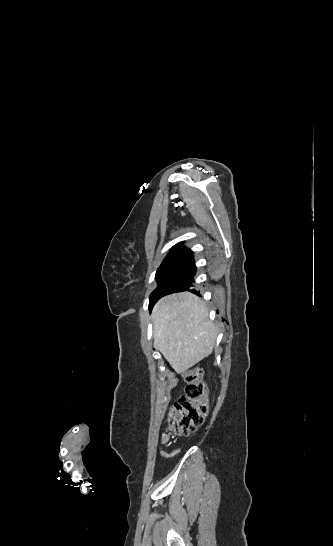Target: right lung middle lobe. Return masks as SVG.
Masks as SVG:
<instances>
[{"mask_svg": "<svg viewBox=\"0 0 333 546\" xmlns=\"http://www.w3.org/2000/svg\"><path fill=\"white\" fill-rule=\"evenodd\" d=\"M186 253L187 252H183V251H172L166 256V258L164 259V261L162 262V264L160 265V267L157 269V272H156L155 278L158 283L160 279L162 278V276L177 262H179L186 255ZM154 294H155V290L151 293L150 300L153 298Z\"/></svg>", "mask_w": 333, "mask_h": 546, "instance_id": "dd1d6c3e", "label": "right lung middle lobe"}]
</instances>
